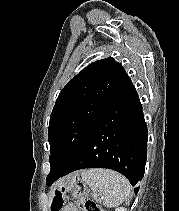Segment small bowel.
<instances>
[{"mask_svg":"<svg viewBox=\"0 0 179 211\" xmlns=\"http://www.w3.org/2000/svg\"><path fill=\"white\" fill-rule=\"evenodd\" d=\"M63 211H79L78 208L72 204L67 205Z\"/></svg>","mask_w":179,"mask_h":211,"instance_id":"small-bowel-1","label":"small bowel"}]
</instances>
